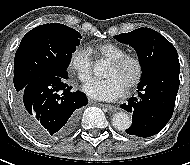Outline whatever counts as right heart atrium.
<instances>
[{
    "instance_id": "right-heart-atrium-1",
    "label": "right heart atrium",
    "mask_w": 190,
    "mask_h": 165,
    "mask_svg": "<svg viewBox=\"0 0 190 165\" xmlns=\"http://www.w3.org/2000/svg\"><path fill=\"white\" fill-rule=\"evenodd\" d=\"M68 69L83 83L92 77V60L90 53L85 48L74 50L68 61Z\"/></svg>"
}]
</instances>
